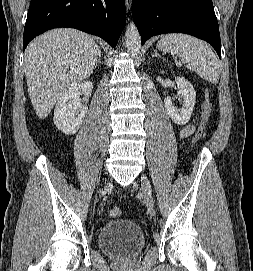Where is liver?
<instances>
[{"instance_id": "1", "label": "liver", "mask_w": 253, "mask_h": 271, "mask_svg": "<svg viewBox=\"0 0 253 271\" xmlns=\"http://www.w3.org/2000/svg\"><path fill=\"white\" fill-rule=\"evenodd\" d=\"M99 54L95 41L76 29H53L28 45L25 75L38 118H46L70 87L92 74Z\"/></svg>"}]
</instances>
